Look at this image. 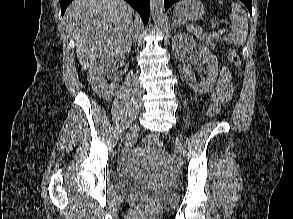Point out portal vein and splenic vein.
<instances>
[{"instance_id":"obj_1","label":"portal vein and splenic vein","mask_w":293,"mask_h":219,"mask_svg":"<svg viewBox=\"0 0 293 219\" xmlns=\"http://www.w3.org/2000/svg\"><path fill=\"white\" fill-rule=\"evenodd\" d=\"M218 25H219V22H212L211 29H215L216 26H218Z\"/></svg>"}]
</instances>
